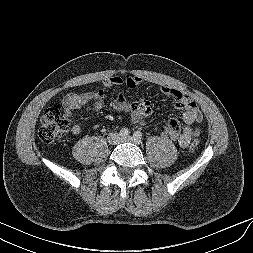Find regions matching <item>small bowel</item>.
I'll return each instance as SVG.
<instances>
[{"mask_svg": "<svg viewBox=\"0 0 253 253\" xmlns=\"http://www.w3.org/2000/svg\"><path fill=\"white\" fill-rule=\"evenodd\" d=\"M144 83V79L137 75L126 74L114 75L104 81V87H119L117 96L112 102V108L123 114H128L132 122H143L153 113L151 104L140 99L133 103H128L123 86L135 88ZM161 91L173 101V106L183 111V127L180 128L179 121L171 118L161 129V133L175 140L183 148H186L190 142L199 136V130L193 125L202 121L203 116L196 103L185 93L171 86H162ZM106 104L104 89L90 90L83 93H69L63 99V105L69 113L83 109L86 112L100 110ZM73 134L78 135L82 132L79 124H73L71 127Z\"/></svg>", "mask_w": 253, "mask_h": 253, "instance_id": "obj_1", "label": "small bowel"}]
</instances>
